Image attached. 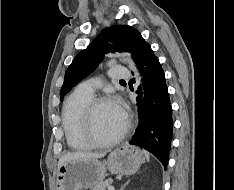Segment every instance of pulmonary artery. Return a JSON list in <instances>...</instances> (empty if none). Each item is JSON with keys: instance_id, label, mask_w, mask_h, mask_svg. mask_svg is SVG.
Instances as JSON below:
<instances>
[{"instance_id": "1", "label": "pulmonary artery", "mask_w": 234, "mask_h": 190, "mask_svg": "<svg viewBox=\"0 0 234 190\" xmlns=\"http://www.w3.org/2000/svg\"><path fill=\"white\" fill-rule=\"evenodd\" d=\"M110 76L112 79H115V80L128 78L130 76V71L127 67H124V66H113L110 69ZM99 84L100 82L98 80L91 79V80H88L79 84L76 90L78 92L93 96Z\"/></svg>"}]
</instances>
